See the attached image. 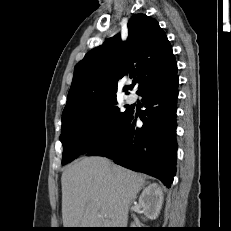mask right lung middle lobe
Returning a JSON list of instances; mask_svg holds the SVG:
<instances>
[{
	"label": "right lung middle lobe",
	"mask_w": 231,
	"mask_h": 231,
	"mask_svg": "<svg viewBox=\"0 0 231 231\" xmlns=\"http://www.w3.org/2000/svg\"><path fill=\"white\" fill-rule=\"evenodd\" d=\"M129 112L130 110L121 112L115 99L96 107L62 115V164H67L107 142L124 123ZM100 128H105L101 137L98 136Z\"/></svg>",
	"instance_id": "1"
}]
</instances>
